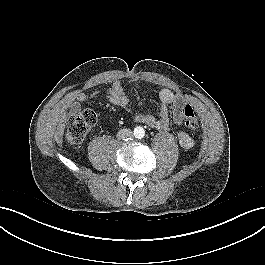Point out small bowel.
Wrapping results in <instances>:
<instances>
[{
  "instance_id": "obj_1",
  "label": "small bowel",
  "mask_w": 265,
  "mask_h": 265,
  "mask_svg": "<svg viewBox=\"0 0 265 265\" xmlns=\"http://www.w3.org/2000/svg\"><path fill=\"white\" fill-rule=\"evenodd\" d=\"M98 95V93H78L74 98L79 103H84ZM105 97L113 105H116L129 113L135 121L162 131L168 129L171 121L177 125L182 124L184 120V107L188 104V100L184 95L175 93L168 88H162L159 91V117L146 113L134 112L129 107V98L120 81L113 82L111 87L105 92ZM177 138L182 147H192L193 140L187 132L180 130L177 134Z\"/></svg>"
}]
</instances>
